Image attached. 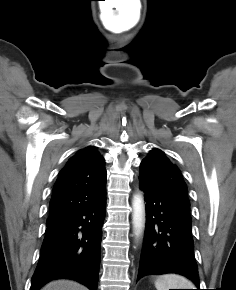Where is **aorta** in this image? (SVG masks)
Here are the masks:
<instances>
[{"instance_id":"aorta-1","label":"aorta","mask_w":236,"mask_h":290,"mask_svg":"<svg viewBox=\"0 0 236 290\" xmlns=\"http://www.w3.org/2000/svg\"><path fill=\"white\" fill-rule=\"evenodd\" d=\"M132 207H133L132 224L134 234L136 238H139L140 235L142 234L145 222L144 202L141 195L137 194L134 196Z\"/></svg>"}]
</instances>
